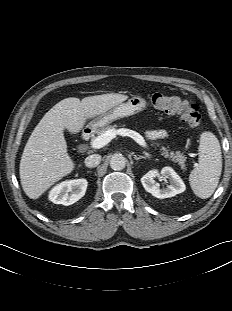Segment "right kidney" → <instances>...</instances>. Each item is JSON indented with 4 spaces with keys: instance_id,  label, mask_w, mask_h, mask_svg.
<instances>
[{
    "instance_id": "right-kidney-1",
    "label": "right kidney",
    "mask_w": 232,
    "mask_h": 311,
    "mask_svg": "<svg viewBox=\"0 0 232 311\" xmlns=\"http://www.w3.org/2000/svg\"><path fill=\"white\" fill-rule=\"evenodd\" d=\"M87 185L83 178L61 182L49 192V200L65 206L74 204L85 195Z\"/></svg>"
}]
</instances>
